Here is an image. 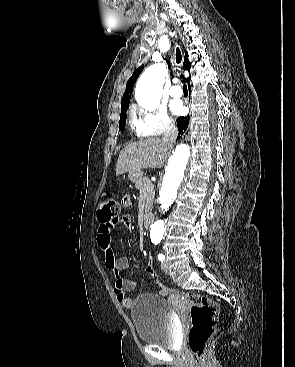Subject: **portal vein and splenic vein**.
<instances>
[{
  "label": "portal vein and splenic vein",
  "instance_id": "1",
  "mask_svg": "<svg viewBox=\"0 0 295 367\" xmlns=\"http://www.w3.org/2000/svg\"><path fill=\"white\" fill-rule=\"evenodd\" d=\"M151 189H152V188H151V186H147V187H146V190H147V191H150Z\"/></svg>",
  "mask_w": 295,
  "mask_h": 367
}]
</instances>
